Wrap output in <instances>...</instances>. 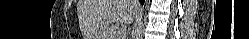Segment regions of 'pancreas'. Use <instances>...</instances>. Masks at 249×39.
Instances as JSON below:
<instances>
[{"label":"pancreas","mask_w":249,"mask_h":39,"mask_svg":"<svg viewBox=\"0 0 249 39\" xmlns=\"http://www.w3.org/2000/svg\"><path fill=\"white\" fill-rule=\"evenodd\" d=\"M107 36L110 39H116L117 36H118L117 26L110 27L109 30H108Z\"/></svg>","instance_id":"cf45deb5"}]
</instances>
